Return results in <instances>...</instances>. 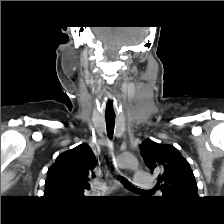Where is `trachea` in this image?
<instances>
[{
	"label": "trachea",
	"mask_w": 224,
	"mask_h": 224,
	"mask_svg": "<svg viewBox=\"0 0 224 224\" xmlns=\"http://www.w3.org/2000/svg\"><path fill=\"white\" fill-rule=\"evenodd\" d=\"M106 121V128H107V134L109 138H112L113 132H114V126H115V116L114 117H105ZM124 185L127 186L129 189L133 190H139L135 187H132L131 184L128 183L127 180L124 181Z\"/></svg>",
	"instance_id": "1"
}]
</instances>
